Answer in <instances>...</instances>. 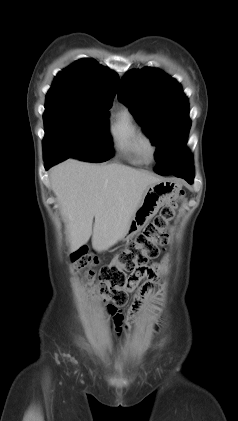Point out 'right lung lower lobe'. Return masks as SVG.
Returning a JSON list of instances; mask_svg holds the SVG:
<instances>
[{"label":"right lung lower lobe","instance_id":"1","mask_svg":"<svg viewBox=\"0 0 238 421\" xmlns=\"http://www.w3.org/2000/svg\"><path fill=\"white\" fill-rule=\"evenodd\" d=\"M65 159H66V157H64V156L63 157H56V156H54V157H50V158L44 159L45 169L48 170L51 166H53V165H55V164H57V163L65 160Z\"/></svg>","mask_w":238,"mask_h":421}]
</instances>
